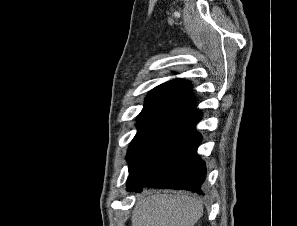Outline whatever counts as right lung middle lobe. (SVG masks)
Instances as JSON below:
<instances>
[{
    "label": "right lung middle lobe",
    "mask_w": 297,
    "mask_h": 226,
    "mask_svg": "<svg viewBox=\"0 0 297 226\" xmlns=\"http://www.w3.org/2000/svg\"><path fill=\"white\" fill-rule=\"evenodd\" d=\"M138 121V132L135 135L132 142L130 143L126 157L127 161L129 162V172H131L134 169V167L138 164V162L150 146L153 139L167 123L166 120L156 119Z\"/></svg>",
    "instance_id": "obj_1"
}]
</instances>
